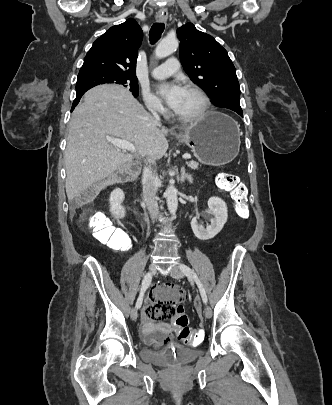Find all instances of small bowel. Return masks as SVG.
Instances as JSON below:
<instances>
[{
	"instance_id": "obj_1",
	"label": "small bowel",
	"mask_w": 332,
	"mask_h": 405,
	"mask_svg": "<svg viewBox=\"0 0 332 405\" xmlns=\"http://www.w3.org/2000/svg\"><path fill=\"white\" fill-rule=\"evenodd\" d=\"M186 295V288L156 286L150 291L142 317L143 344H153V347L162 344L164 349H171L172 345H177V340L171 341V336L168 335L172 330L171 322H167L165 317L167 313H174L168 311H176L183 306ZM173 300L177 303L174 307L170 304ZM195 306L199 308V300L195 301Z\"/></svg>"
}]
</instances>
